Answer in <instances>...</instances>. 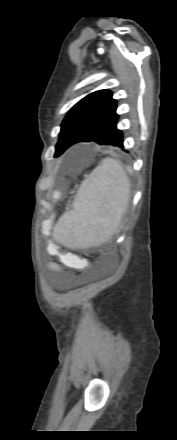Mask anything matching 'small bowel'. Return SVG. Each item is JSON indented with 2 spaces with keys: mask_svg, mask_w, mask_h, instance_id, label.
Instances as JSON below:
<instances>
[{
  "mask_svg": "<svg viewBox=\"0 0 177 440\" xmlns=\"http://www.w3.org/2000/svg\"><path fill=\"white\" fill-rule=\"evenodd\" d=\"M63 257H64V259H66V260H70V259L73 257V255H72V254H65ZM49 267H50V269L53 270V271H58V270H59V266H58V264H56V263H54V262L50 263V264H49Z\"/></svg>",
  "mask_w": 177,
  "mask_h": 440,
  "instance_id": "obj_1",
  "label": "small bowel"
}]
</instances>
